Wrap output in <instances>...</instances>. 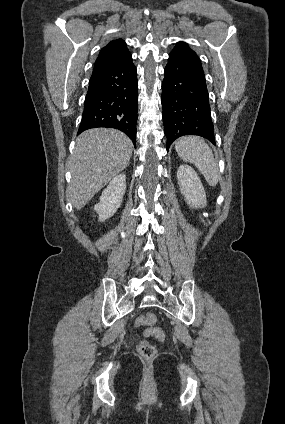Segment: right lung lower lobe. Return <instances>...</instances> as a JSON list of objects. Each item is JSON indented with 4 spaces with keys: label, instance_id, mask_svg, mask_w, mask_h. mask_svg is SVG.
Segmentation results:
<instances>
[{
    "label": "right lung lower lobe",
    "instance_id": "1",
    "mask_svg": "<svg viewBox=\"0 0 285 424\" xmlns=\"http://www.w3.org/2000/svg\"><path fill=\"white\" fill-rule=\"evenodd\" d=\"M132 58L92 73L78 134L97 127L118 129L136 142L138 81Z\"/></svg>",
    "mask_w": 285,
    "mask_h": 424
}]
</instances>
